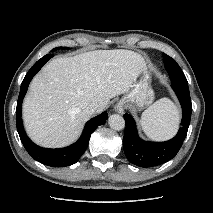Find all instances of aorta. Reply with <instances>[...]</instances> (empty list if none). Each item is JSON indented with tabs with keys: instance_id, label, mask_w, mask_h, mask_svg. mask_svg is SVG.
<instances>
[{
	"instance_id": "obj_1",
	"label": "aorta",
	"mask_w": 213,
	"mask_h": 213,
	"mask_svg": "<svg viewBox=\"0 0 213 213\" xmlns=\"http://www.w3.org/2000/svg\"><path fill=\"white\" fill-rule=\"evenodd\" d=\"M109 126L114 130H122L125 127V120L121 115L113 114L108 119Z\"/></svg>"
}]
</instances>
